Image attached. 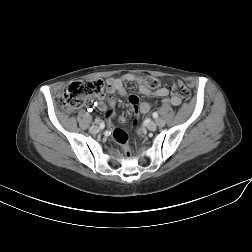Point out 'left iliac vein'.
Returning a JSON list of instances; mask_svg holds the SVG:
<instances>
[{
    "label": "left iliac vein",
    "instance_id": "4c4485c4",
    "mask_svg": "<svg viewBox=\"0 0 252 252\" xmlns=\"http://www.w3.org/2000/svg\"><path fill=\"white\" fill-rule=\"evenodd\" d=\"M164 125H165V121L163 119H161V118H158L156 122H153V121L148 122L146 124V127H147L148 130L154 131V130H156L157 126L162 127Z\"/></svg>",
    "mask_w": 252,
    "mask_h": 252
}]
</instances>
